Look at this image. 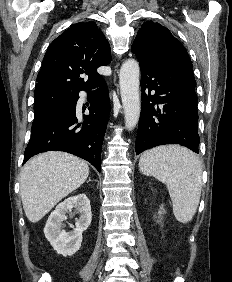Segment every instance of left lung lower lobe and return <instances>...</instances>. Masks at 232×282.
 <instances>
[{
  "mask_svg": "<svg viewBox=\"0 0 232 282\" xmlns=\"http://www.w3.org/2000/svg\"><path fill=\"white\" fill-rule=\"evenodd\" d=\"M141 69V115L136 154L164 144H180L199 153L198 112L192 68L182 64Z\"/></svg>",
  "mask_w": 232,
  "mask_h": 282,
  "instance_id": "1",
  "label": "left lung lower lobe"
}]
</instances>
